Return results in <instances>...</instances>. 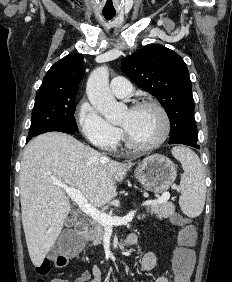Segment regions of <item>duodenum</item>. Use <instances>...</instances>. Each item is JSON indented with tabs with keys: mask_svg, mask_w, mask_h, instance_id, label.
Instances as JSON below:
<instances>
[{
	"mask_svg": "<svg viewBox=\"0 0 232 282\" xmlns=\"http://www.w3.org/2000/svg\"><path fill=\"white\" fill-rule=\"evenodd\" d=\"M75 231L77 233V235L80 237V239H84L86 234H87V231H88V226L86 224V222L84 221H79L76 223L75 225ZM126 244L130 245L132 244V241L130 240L129 237L126 238L125 240Z\"/></svg>",
	"mask_w": 232,
	"mask_h": 282,
	"instance_id": "duodenum-1",
	"label": "duodenum"
}]
</instances>
